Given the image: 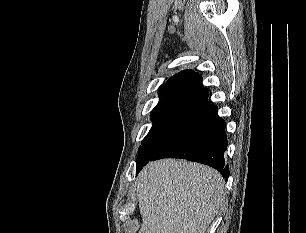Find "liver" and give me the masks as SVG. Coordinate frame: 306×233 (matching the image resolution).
<instances>
[{
	"label": "liver",
	"instance_id": "1",
	"mask_svg": "<svg viewBox=\"0 0 306 233\" xmlns=\"http://www.w3.org/2000/svg\"><path fill=\"white\" fill-rule=\"evenodd\" d=\"M139 233H205L224 200L214 169L184 160L148 163L137 181Z\"/></svg>",
	"mask_w": 306,
	"mask_h": 233
}]
</instances>
